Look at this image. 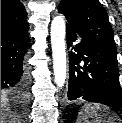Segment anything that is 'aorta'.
<instances>
[{"mask_svg":"<svg viewBox=\"0 0 122 123\" xmlns=\"http://www.w3.org/2000/svg\"><path fill=\"white\" fill-rule=\"evenodd\" d=\"M65 21L56 16L51 23V45L55 83L64 86L66 79Z\"/></svg>","mask_w":122,"mask_h":123,"instance_id":"obj_1","label":"aorta"}]
</instances>
